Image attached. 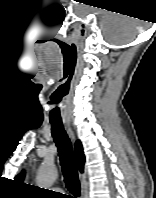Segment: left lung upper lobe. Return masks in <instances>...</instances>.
Listing matches in <instances>:
<instances>
[{
	"label": "left lung upper lobe",
	"instance_id": "obj_1",
	"mask_svg": "<svg viewBox=\"0 0 156 198\" xmlns=\"http://www.w3.org/2000/svg\"><path fill=\"white\" fill-rule=\"evenodd\" d=\"M20 180H22L24 178V173H22L19 177Z\"/></svg>",
	"mask_w": 156,
	"mask_h": 198
}]
</instances>
